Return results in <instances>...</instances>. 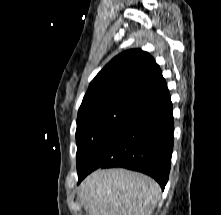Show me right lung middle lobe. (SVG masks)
<instances>
[{
	"label": "right lung middle lobe",
	"mask_w": 221,
	"mask_h": 215,
	"mask_svg": "<svg viewBox=\"0 0 221 215\" xmlns=\"http://www.w3.org/2000/svg\"><path fill=\"white\" fill-rule=\"evenodd\" d=\"M134 106L117 101L91 102L80 106L77 117V172L88 166L93 155Z\"/></svg>",
	"instance_id": "obj_1"
}]
</instances>
